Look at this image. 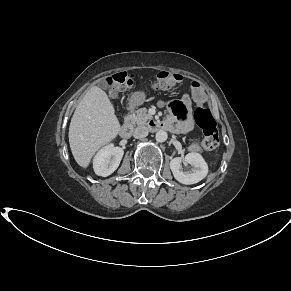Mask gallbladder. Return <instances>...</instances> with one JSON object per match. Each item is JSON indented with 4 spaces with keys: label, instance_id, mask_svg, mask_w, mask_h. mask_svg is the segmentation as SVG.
Wrapping results in <instances>:
<instances>
[{
    "label": "gallbladder",
    "instance_id": "1",
    "mask_svg": "<svg viewBox=\"0 0 291 291\" xmlns=\"http://www.w3.org/2000/svg\"><path fill=\"white\" fill-rule=\"evenodd\" d=\"M98 86L102 89H106V90L109 89L108 81L105 78L99 81Z\"/></svg>",
    "mask_w": 291,
    "mask_h": 291
}]
</instances>
